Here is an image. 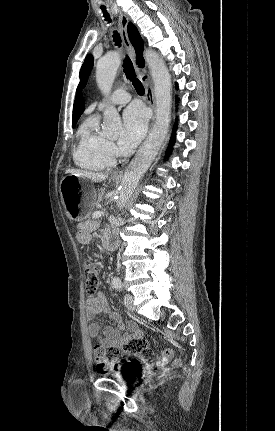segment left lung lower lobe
Returning a JSON list of instances; mask_svg holds the SVG:
<instances>
[{"label": "left lung lower lobe", "instance_id": "1", "mask_svg": "<svg viewBox=\"0 0 275 431\" xmlns=\"http://www.w3.org/2000/svg\"><path fill=\"white\" fill-rule=\"evenodd\" d=\"M174 135H175V132H174V133H173V135H172V138H171V141H170V145H169V147H168L167 154H169V153H170V151H171V149H172V145H173V143H174Z\"/></svg>", "mask_w": 275, "mask_h": 431}]
</instances>
